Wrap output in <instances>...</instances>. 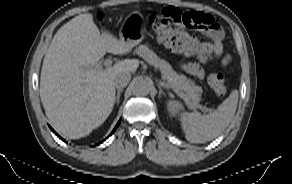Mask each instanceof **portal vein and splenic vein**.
Wrapping results in <instances>:
<instances>
[{
	"label": "portal vein and splenic vein",
	"instance_id": "1",
	"mask_svg": "<svg viewBox=\"0 0 292 184\" xmlns=\"http://www.w3.org/2000/svg\"><path fill=\"white\" fill-rule=\"evenodd\" d=\"M104 65H105L107 68H110V66L112 65V60H111V59H106L105 62H104ZM172 89H173V91H174L176 94H178L180 97H182V94H181L177 89H174V88H172ZM202 109H203L204 111H209V109L206 108V107H203Z\"/></svg>",
	"mask_w": 292,
	"mask_h": 184
}]
</instances>
